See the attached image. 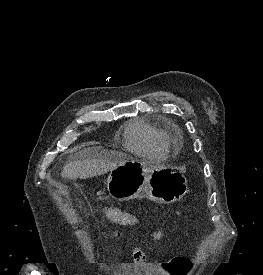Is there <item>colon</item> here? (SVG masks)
<instances>
[{
    "label": "colon",
    "instance_id": "obj_1",
    "mask_svg": "<svg viewBox=\"0 0 263 275\" xmlns=\"http://www.w3.org/2000/svg\"><path fill=\"white\" fill-rule=\"evenodd\" d=\"M103 216L110 222L121 226H133L138 219L121 209L115 207H103ZM170 274L183 275V271L190 265V261L184 257H175L170 262Z\"/></svg>",
    "mask_w": 263,
    "mask_h": 275
}]
</instances>
